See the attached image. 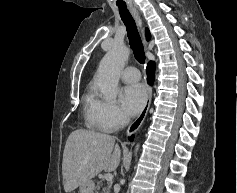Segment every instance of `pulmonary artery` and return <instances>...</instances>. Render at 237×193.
<instances>
[{
	"mask_svg": "<svg viewBox=\"0 0 237 193\" xmlns=\"http://www.w3.org/2000/svg\"><path fill=\"white\" fill-rule=\"evenodd\" d=\"M141 74L136 67L129 66L121 73V79L129 84L136 83L140 80Z\"/></svg>",
	"mask_w": 237,
	"mask_h": 193,
	"instance_id": "e3ab8cb5",
	"label": "pulmonary artery"
}]
</instances>
